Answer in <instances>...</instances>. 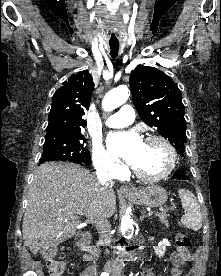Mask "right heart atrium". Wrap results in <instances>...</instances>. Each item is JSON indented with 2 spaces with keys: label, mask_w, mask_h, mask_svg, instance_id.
I'll use <instances>...</instances> for the list:
<instances>
[{
  "label": "right heart atrium",
  "mask_w": 221,
  "mask_h": 276,
  "mask_svg": "<svg viewBox=\"0 0 221 276\" xmlns=\"http://www.w3.org/2000/svg\"><path fill=\"white\" fill-rule=\"evenodd\" d=\"M92 161L95 169L102 175L117 178L123 171L122 163L111 155L101 143H95L92 149Z\"/></svg>",
  "instance_id": "d8ad5b80"
}]
</instances>
